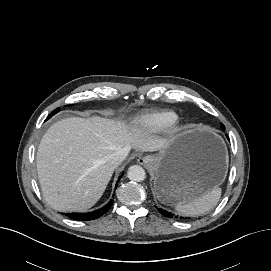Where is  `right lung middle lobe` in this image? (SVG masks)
<instances>
[{"mask_svg":"<svg viewBox=\"0 0 271 271\" xmlns=\"http://www.w3.org/2000/svg\"><path fill=\"white\" fill-rule=\"evenodd\" d=\"M60 111V109L59 108H57L56 110H54L50 115H48V117H47V119L46 120H48L49 118H51L53 115H55L57 112H59Z\"/></svg>","mask_w":271,"mask_h":271,"instance_id":"obj_1","label":"right lung middle lobe"}]
</instances>
